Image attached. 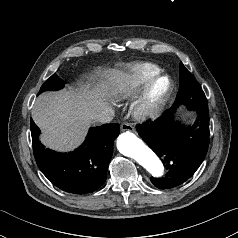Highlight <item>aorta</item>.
<instances>
[{"label": "aorta", "instance_id": "aorta-1", "mask_svg": "<svg viewBox=\"0 0 238 238\" xmlns=\"http://www.w3.org/2000/svg\"><path fill=\"white\" fill-rule=\"evenodd\" d=\"M117 148L124 156L134 159L153 177L159 178L164 173V166L159 157L135 134L123 132L117 138Z\"/></svg>", "mask_w": 238, "mask_h": 238}]
</instances>
